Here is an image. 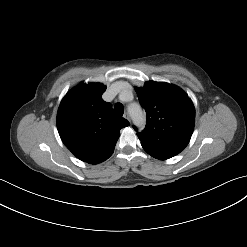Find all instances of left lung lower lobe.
<instances>
[{"label":"left lung lower lobe","mask_w":247,"mask_h":247,"mask_svg":"<svg viewBox=\"0 0 247 247\" xmlns=\"http://www.w3.org/2000/svg\"><path fill=\"white\" fill-rule=\"evenodd\" d=\"M144 150L149 154L151 155L152 157L156 158V159H159V160H166V159H169L175 155H172V154H167V153H162V152H158V151H155L153 149H149L147 147H144Z\"/></svg>","instance_id":"left-lung-lower-lobe-1"}]
</instances>
